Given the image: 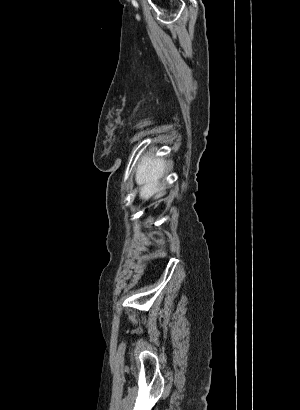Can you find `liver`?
Returning a JSON list of instances; mask_svg holds the SVG:
<instances>
[{
  "mask_svg": "<svg viewBox=\"0 0 300 410\" xmlns=\"http://www.w3.org/2000/svg\"><path fill=\"white\" fill-rule=\"evenodd\" d=\"M164 159H154L153 155H144L137 167L136 182L141 186L140 198L148 200L154 196L158 199L165 195V185L160 179L165 172Z\"/></svg>",
  "mask_w": 300,
  "mask_h": 410,
  "instance_id": "liver-1",
  "label": "liver"
}]
</instances>
